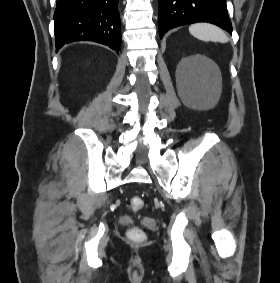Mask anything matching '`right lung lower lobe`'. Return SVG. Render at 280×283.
<instances>
[{"instance_id": "98d812e1", "label": "right lung lower lobe", "mask_w": 280, "mask_h": 283, "mask_svg": "<svg viewBox=\"0 0 280 283\" xmlns=\"http://www.w3.org/2000/svg\"><path fill=\"white\" fill-rule=\"evenodd\" d=\"M54 31L56 51L75 41H94L118 52L121 44L118 0H57Z\"/></svg>"}]
</instances>
